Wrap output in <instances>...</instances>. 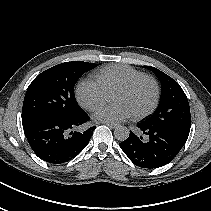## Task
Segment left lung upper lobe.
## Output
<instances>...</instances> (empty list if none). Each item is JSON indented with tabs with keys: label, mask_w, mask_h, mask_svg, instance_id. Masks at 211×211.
I'll list each match as a JSON object with an SVG mask.
<instances>
[{
	"label": "left lung upper lobe",
	"mask_w": 211,
	"mask_h": 211,
	"mask_svg": "<svg viewBox=\"0 0 211 211\" xmlns=\"http://www.w3.org/2000/svg\"><path fill=\"white\" fill-rule=\"evenodd\" d=\"M151 70L161 82V97L157 111L143 124L171 130L187 139L190 132V107L187 97L180 85L167 74L151 67Z\"/></svg>",
	"instance_id": "5c2ea615"
}]
</instances>
